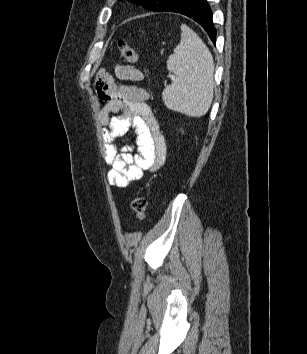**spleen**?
<instances>
[{
    "mask_svg": "<svg viewBox=\"0 0 307 354\" xmlns=\"http://www.w3.org/2000/svg\"><path fill=\"white\" fill-rule=\"evenodd\" d=\"M167 69L176 75L162 93L168 109L191 117L207 113L214 94V61L200 37L187 25L181 40L167 60Z\"/></svg>",
    "mask_w": 307,
    "mask_h": 354,
    "instance_id": "spleen-1",
    "label": "spleen"
}]
</instances>
